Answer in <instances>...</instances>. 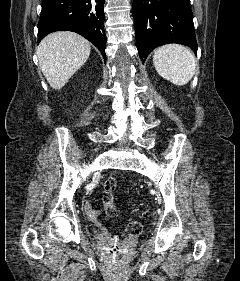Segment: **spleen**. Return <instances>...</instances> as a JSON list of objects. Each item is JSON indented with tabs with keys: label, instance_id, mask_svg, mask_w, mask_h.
<instances>
[{
	"label": "spleen",
	"instance_id": "obj_1",
	"mask_svg": "<svg viewBox=\"0 0 240 281\" xmlns=\"http://www.w3.org/2000/svg\"><path fill=\"white\" fill-rule=\"evenodd\" d=\"M157 73L174 85H186L196 71V60L192 51L179 44H167L157 48L153 55Z\"/></svg>",
	"mask_w": 240,
	"mask_h": 281
}]
</instances>
